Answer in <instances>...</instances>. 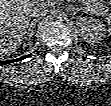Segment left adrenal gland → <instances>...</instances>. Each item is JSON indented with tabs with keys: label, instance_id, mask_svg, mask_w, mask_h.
<instances>
[{
	"label": "left adrenal gland",
	"instance_id": "left-adrenal-gland-1",
	"mask_svg": "<svg viewBox=\"0 0 111 106\" xmlns=\"http://www.w3.org/2000/svg\"><path fill=\"white\" fill-rule=\"evenodd\" d=\"M70 10H72L74 12V14H76L78 11L80 10H83V12H85L86 10L80 6H73V5H70L69 6Z\"/></svg>",
	"mask_w": 111,
	"mask_h": 106
}]
</instances>
